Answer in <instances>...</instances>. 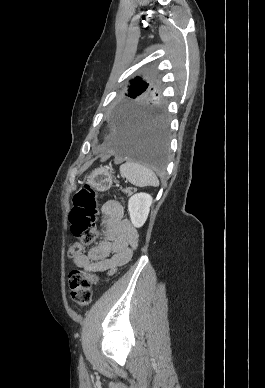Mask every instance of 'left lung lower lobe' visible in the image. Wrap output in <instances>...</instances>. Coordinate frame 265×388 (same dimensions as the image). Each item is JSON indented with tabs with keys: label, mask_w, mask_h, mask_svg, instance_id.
<instances>
[{
	"label": "left lung lower lobe",
	"mask_w": 265,
	"mask_h": 388,
	"mask_svg": "<svg viewBox=\"0 0 265 388\" xmlns=\"http://www.w3.org/2000/svg\"><path fill=\"white\" fill-rule=\"evenodd\" d=\"M168 143V119L163 108H120L105 147L119 157L161 171L166 166Z\"/></svg>",
	"instance_id": "obj_1"
}]
</instances>
